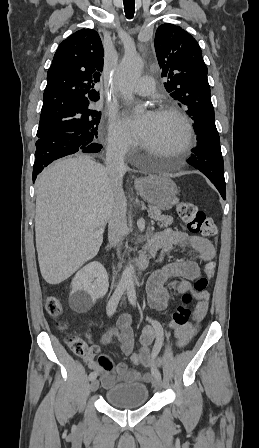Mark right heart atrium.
Listing matches in <instances>:
<instances>
[{
	"label": "right heart atrium",
	"mask_w": 259,
	"mask_h": 448,
	"mask_svg": "<svg viewBox=\"0 0 259 448\" xmlns=\"http://www.w3.org/2000/svg\"><path fill=\"white\" fill-rule=\"evenodd\" d=\"M104 141L108 151L125 158L137 145L136 139L116 116H111L108 122Z\"/></svg>",
	"instance_id": "right-heart-atrium-1"
}]
</instances>
